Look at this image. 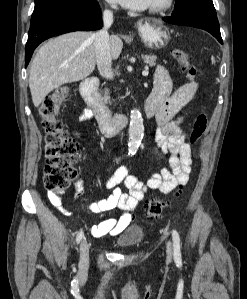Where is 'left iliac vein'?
Returning <instances> with one entry per match:
<instances>
[{"label": "left iliac vein", "instance_id": "obj_1", "mask_svg": "<svg viewBox=\"0 0 247 299\" xmlns=\"http://www.w3.org/2000/svg\"><path fill=\"white\" fill-rule=\"evenodd\" d=\"M166 251H167V258L169 260H171V258H172V243L170 241L167 243Z\"/></svg>", "mask_w": 247, "mask_h": 299}]
</instances>
